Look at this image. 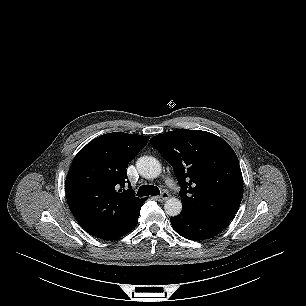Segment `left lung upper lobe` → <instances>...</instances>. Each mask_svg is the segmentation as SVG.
Returning <instances> with one entry per match:
<instances>
[{
    "label": "left lung upper lobe",
    "mask_w": 306,
    "mask_h": 306,
    "mask_svg": "<svg viewBox=\"0 0 306 306\" xmlns=\"http://www.w3.org/2000/svg\"><path fill=\"white\" fill-rule=\"evenodd\" d=\"M150 142L174 169L182 210L232 220L242 200L243 180L238 158L226 141L206 131L178 129Z\"/></svg>",
    "instance_id": "left-lung-upper-lobe-1"
}]
</instances>
